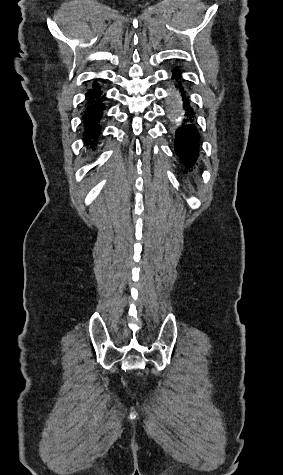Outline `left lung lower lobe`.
<instances>
[{
	"instance_id": "obj_1",
	"label": "left lung lower lobe",
	"mask_w": 283,
	"mask_h": 475,
	"mask_svg": "<svg viewBox=\"0 0 283 475\" xmlns=\"http://www.w3.org/2000/svg\"><path fill=\"white\" fill-rule=\"evenodd\" d=\"M181 77L178 69L173 70V79ZM181 96H183V108L186 110L184 124L177 129L175 133V152L180 157L186 167H191L201 156V137L196 123V116L193 108L190 106V100L184 87L179 82Z\"/></svg>"
}]
</instances>
